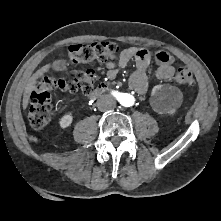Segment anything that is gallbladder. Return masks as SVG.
Returning <instances> with one entry per match:
<instances>
[{"instance_id": "1", "label": "gallbladder", "mask_w": 221, "mask_h": 221, "mask_svg": "<svg viewBox=\"0 0 221 221\" xmlns=\"http://www.w3.org/2000/svg\"><path fill=\"white\" fill-rule=\"evenodd\" d=\"M52 68L55 70V71H63L66 69V63L64 60H57V61H54L53 64H52Z\"/></svg>"}]
</instances>
